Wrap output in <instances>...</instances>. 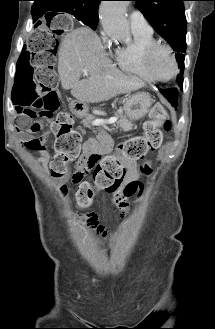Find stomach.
Instances as JSON below:
<instances>
[{"instance_id": "1", "label": "stomach", "mask_w": 215, "mask_h": 329, "mask_svg": "<svg viewBox=\"0 0 215 329\" xmlns=\"http://www.w3.org/2000/svg\"><path fill=\"white\" fill-rule=\"evenodd\" d=\"M152 105L149 93L138 92L129 96L123 106L125 115L130 120H139L145 117ZM70 110L77 116H85L88 113V106L79 100L71 101Z\"/></svg>"}]
</instances>
